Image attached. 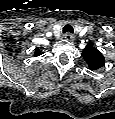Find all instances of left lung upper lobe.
<instances>
[{"label": "left lung upper lobe", "mask_w": 115, "mask_h": 119, "mask_svg": "<svg viewBox=\"0 0 115 119\" xmlns=\"http://www.w3.org/2000/svg\"><path fill=\"white\" fill-rule=\"evenodd\" d=\"M82 55L91 70L99 69L105 64L104 56L99 50L93 47V43L87 44Z\"/></svg>", "instance_id": "1"}]
</instances>
